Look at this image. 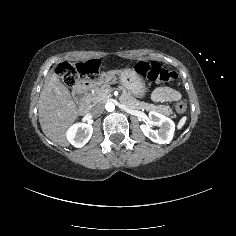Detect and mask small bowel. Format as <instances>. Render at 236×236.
<instances>
[{"instance_id": "obj_1", "label": "small bowel", "mask_w": 236, "mask_h": 236, "mask_svg": "<svg viewBox=\"0 0 236 236\" xmlns=\"http://www.w3.org/2000/svg\"><path fill=\"white\" fill-rule=\"evenodd\" d=\"M152 98L155 101H177L181 98V94L174 89L161 87L152 92Z\"/></svg>"}]
</instances>
